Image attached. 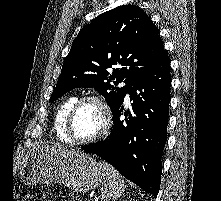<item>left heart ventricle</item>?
I'll return each instance as SVG.
<instances>
[{"label":"left heart ventricle","instance_id":"1","mask_svg":"<svg viewBox=\"0 0 221 201\" xmlns=\"http://www.w3.org/2000/svg\"><path fill=\"white\" fill-rule=\"evenodd\" d=\"M103 125V116L99 106L92 101L80 106L75 114L72 131L78 139H88L98 134Z\"/></svg>","mask_w":221,"mask_h":201}]
</instances>
